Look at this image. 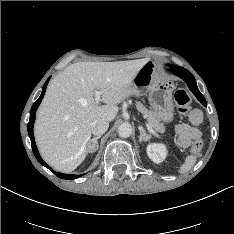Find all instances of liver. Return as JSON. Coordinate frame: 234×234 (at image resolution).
<instances>
[{"instance_id":"6515ba94","label":"liver","mask_w":234,"mask_h":234,"mask_svg":"<svg viewBox=\"0 0 234 234\" xmlns=\"http://www.w3.org/2000/svg\"><path fill=\"white\" fill-rule=\"evenodd\" d=\"M147 62H78L58 74L47 87L34 127L43 159L57 171H74L91 148V124L114 120L117 105L133 94L132 81ZM96 91L104 105L95 101Z\"/></svg>"}]
</instances>
